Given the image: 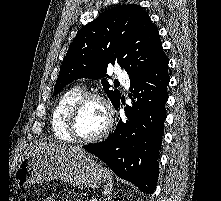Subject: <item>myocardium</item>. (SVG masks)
<instances>
[{"label":"myocardium","mask_w":221,"mask_h":201,"mask_svg":"<svg viewBox=\"0 0 221 201\" xmlns=\"http://www.w3.org/2000/svg\"><path fill=\"white\" fill-rule=\"evenodd\" d=\"M90 100H97L102 103L106 112V125L104 129L97 135L89 138L80 137L76 132V121L82 107ZM114 125V109L110 100L103 94L96 92H87L80 96V98L72 106L67 118V131L73 141L83 144L97 142L103 139L111 131Z\"/></svg>","instance_id":"myocardium-1"}]
</instances>
